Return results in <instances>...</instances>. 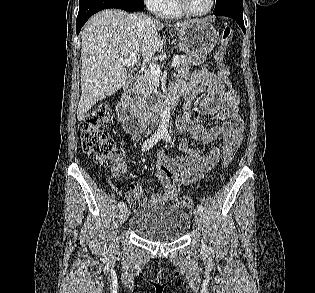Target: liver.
<instances>
[{
	"label": "liver",
	"mask_w": 315,
	"mask_h": 293,
	"mask_svg": "<svg viewBox=\"0 0 315 293\" xmlns=\"http://www.w3.org/2000/svg\"><path fill=\"white\" fill-rule=\"evenodd\" d=\"M188 23V22H187ZM187 23H176L182 27ZM162 22L144 14H128L117 9L101 11L91 17L81 31V98L77 118L83 121L99 100L115 94L128 80L120 59L136 51L145 60L159 50L158 32Z\"/></svg>",
	"instance_id": "1"
}]
</instances>
